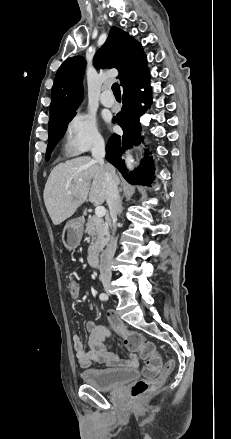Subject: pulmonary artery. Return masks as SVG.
Listing matches in <instances>:
<instances>
[{
    "instance_id": "1",
    "label": "pulmonary artery",
    "mask_w": 231,
    "mask_h": 439,
    "mask_svg": "<svg viewBox=\"0 0 231 439\" xmlns=\"http://www.w3.org/2000/svg\"><path fill=\"white\" fill-rule=\"evenodd\" d=\"M100 101L105 107H113L115 104L114 98L108 89H105V91L102 93Z\"/></svg>"
}]
</instances>
